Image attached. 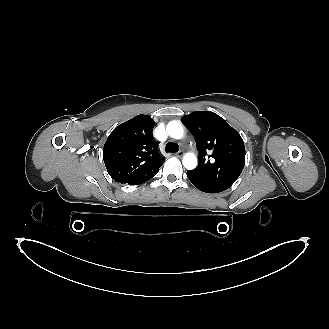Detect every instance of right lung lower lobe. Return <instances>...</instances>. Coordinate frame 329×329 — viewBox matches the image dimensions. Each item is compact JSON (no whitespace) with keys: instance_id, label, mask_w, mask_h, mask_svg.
<instances>
[{"instance_id":"obj_1","label":"right lung lower lobe","mask_w":329,"mask_h":329,"mask_svg":"<svg viewBox=\"0 0 329 329\" xmlns=\"http://www.w3.org/2000/svg\"><path fill=\"white\" fill-rule=\"evenodd\" d=\"M156 174H157V173L153 174V176H152V177H154ZM152 177H151V178H152ZM151 178H150V179H151ZM148 180H149V179H148ZM148 180H146V181H148ZM143 183H144V182H143Z\"/></svg>"}]
</instances>
